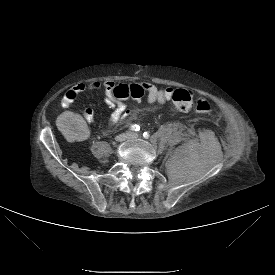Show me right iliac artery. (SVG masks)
<instances>
[{
	"mask_svg": "<svg viewBox=\"0 0 275 275\" xmlns=\"http://www.w3.org/2000/svg\"><path fill=\"white\" fill-rule=\"evenodd\" d=\"M130 130L131 131H139L140 130V127L138 126V125H132L131 127H130Z\"/></svg>",
	"mask_w": 275,
	"mask_h": 275,
	"instance_id": "right-iliac-artery-1",
	"label": "right iliac artery"
}]
</instances>
